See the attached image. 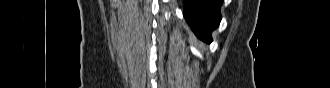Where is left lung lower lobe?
I'll return each instance as SVG.
<instances>
[{
    "mask_svg": "<svg viewBox=\"0 0 330 88\" xmlns=\"http://www.w3.org/2000/svg\"><path fill=\"white\" fill-rule=\"evenodd\" d=\"M222 3L223 0H184V17L199 39L212 41L211 33L221 21Z\"/></svg>",
    "mask_w": 330,
    "mask_h": 88,
    "instance_id": "1",
    "label": "left lung lower lobe"
}]
</instances>
